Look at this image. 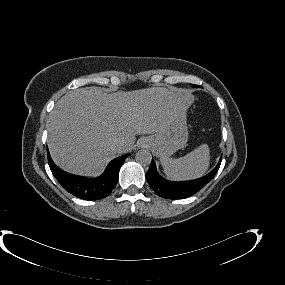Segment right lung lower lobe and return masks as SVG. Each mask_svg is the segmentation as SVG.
<instances>
[{"mask_svg": "<svg viewBox=\"0 0 285 285\" xmlns=\"http://www.w3.org/2000/svg\"><path fill=\"white\" fill-rule=\"evenodd\" d=\"M128 155L112 160L104 173L97 178L78 177L62 171L54 164L49 152L48 163L55 178L69 193L83 200H98L107 197L114 189L120 167Z\"/></svg>", "mask_w": 285, "mask_h": 285, "instance_id": "right-lung-lower-lobe-1", "label": "right lung lower lobe"}]
</instances>
